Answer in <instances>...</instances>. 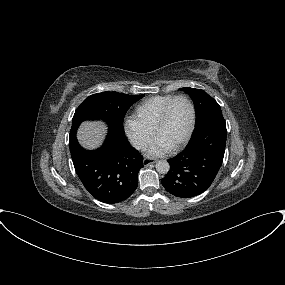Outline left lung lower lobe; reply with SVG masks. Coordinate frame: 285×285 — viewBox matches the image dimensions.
<instances>
[{
  "instance_id": "left-lung-lower-lobe-1",
  "label": "left lung lower lobe",
  "mask_w": 285,
  "mask_h": 285,
  "mask_svg": "<svg viewBox=\"0 0 285 285\" xmlns=\"http://www.w3.org/2000/svg\"><path fill=\"white\" fill-rule=\"evenodd\" d=\"M226 123L222 113L211 114L195 128L187 147L168 159L170 170L161 179L174 196L190 198L204 192L213 182L223 162Z\"/></svg>"
}]
</instances>
